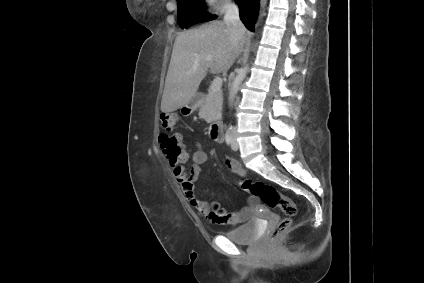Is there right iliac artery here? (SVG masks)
<instances>
[{
  "label": "right iliac artery",
  "instance_id": "1",
  "mask_svg": "<svg viewBox=\"0 0 424 283\" xmlns=\"http://www.w3.org/2000/svg\"><path fill=\"white\" fill-rule=\"evenodd\" d=\"M225 140H226L227 145L231 144V142H232V134H231V131L230 130H228L226 132Z\"/></svg>",
  "mask_w": 424,
  "mask_h": 283
}]
</instances>
